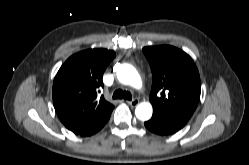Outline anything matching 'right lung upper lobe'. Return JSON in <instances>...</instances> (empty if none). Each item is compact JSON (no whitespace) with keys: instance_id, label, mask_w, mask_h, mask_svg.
<instances>
[{"instance_id":"obj_1","label":"right lung upper lobe","mask_w":249,"mask_h":165,"mask_svg":"<svg viewBox=\"0 0 249 165\" xmlns=\"http://www.w3.org/2000/svg\"><path fill=\"white\" fill-rule=\"evenodd\" d=\"M115 56L114 51L102 48L84 50L68 58L55 76V111L75 134L94 129L110 117L114 106L98 92L103 73Z\"/></svg>"}]
</instances>
